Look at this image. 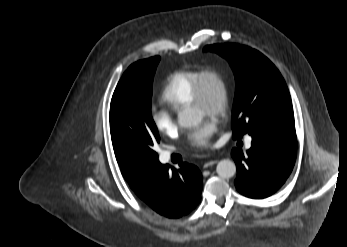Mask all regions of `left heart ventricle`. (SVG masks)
<instances>
[{"instance_id":"obj_1","label":"left heart ventricle","mask_w":347,"mask_h":247,"mask_svg":"<svg viewBox=\"0 0 347 247\" xmlns=\"http://www.w3.org/2000/svg\"><path fill=\"white\" fill-rule=\"evenodd\" d=\"M218 95L219 93L217 85L212 80H210L208 82V97L211 104H214L217 101ZM194 111L199 117L206 115L205 111L201 108L194 107Z\"/></svg>"}]
</instances>
